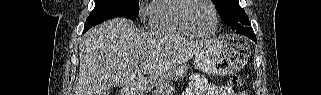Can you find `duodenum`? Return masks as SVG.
Returning <instances> with one entry per match:
<instances>
[{"mask_svg":"<svg viewBox=\"0 0 321 95\" xmlns=\"http://www.w3.org/2000/svg\"><path fill=\"white\" fill-rule=\"evenodd\" d=\"M121 94L122 95H136V94H143V93H136L132 89L127 88V89L122 90Z\"/></svg>","mask_w":321,"mask_h":95,"instance_id":"1","label":"duodenum"}]
</instances>
